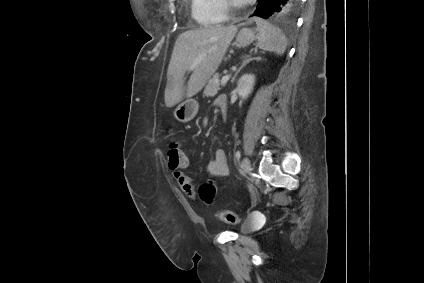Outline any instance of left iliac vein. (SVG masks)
<instances>
[{"label":"left iliac vein","instance_id":"4c4485c4","mask_svg":"<svg viewBox=\"0 0 424 283\" xmlns=\"http://www.w3.org/2000/svg\"><path fill=\"white\" fill-rule=\"evenodd\" d=\"M250 171V160L248 158H244L241 163V172L243 174H247Z\"/></svg>","mask_w":424,"mask_h":283}]
</instances>
